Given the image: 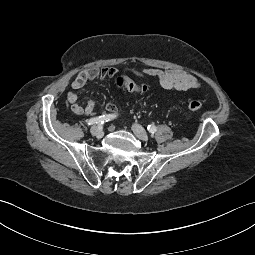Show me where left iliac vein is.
Here are the masks:
<instances>
[{"mask_svg": "<svg viewBox=\"0 0 255 255\" xmlns=\"http://www.w3.org/2000/svg\"><path fill=\"white\" fill-rule=\"evenodd\" d=\"M132 130L134 132V134L141 140L143 141H147L149 139L148 134L146 133V131L144 130V128L139 125V124H134L132 126Z\"/></svg>", "mask_w": 255, "mask_h": 255, "instance_id": "obj_1", "label": "left iliac vein"}]
</instances>
